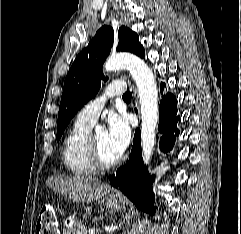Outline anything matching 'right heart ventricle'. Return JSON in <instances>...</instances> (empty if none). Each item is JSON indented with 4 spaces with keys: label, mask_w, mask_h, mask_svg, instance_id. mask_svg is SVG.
Returning a JSON list of instances; mask_svg holds the SVG:
<instances>
[{
    "label": "right heart ventricle",
    "mask_w": 241,
    "mask_h": 234,
    "mask_svg": "<svg viewBox=\"0 0 241 234\" xmlns=\"http://www.w3.org/2000/svg\"><path fill=\"white\" fill-rule=\"evenodd\" d=\"M93 124L76 119L63 144L62 159L68 172L76 176H89L96 172L88 153V140Z\"/></svg>",
    "instance_id": "obj_1"
}]
</instances>
